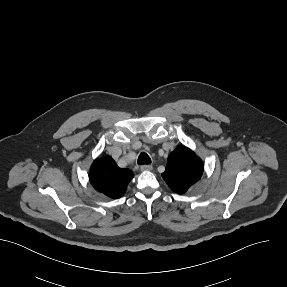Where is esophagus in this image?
Masks as SVG:
<instances>
[{
	"label": "esophagus",
	"mask_w": 287,
	"mask_h": 287,
	"mask_svg": "<svg viewBox=\"0 0 287 287\" xmlns=\"http://www.w3.org/2000/svg\"><path fill=\"white\" fill-rule=\"evenodd\" d=\"M140 169H141L142 171H151V170L153 169V167H152L151 165H142V166L140 167Z\"/></svg>",
	"instance_id": "esophagus-1"
}]
</instances>
